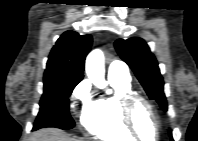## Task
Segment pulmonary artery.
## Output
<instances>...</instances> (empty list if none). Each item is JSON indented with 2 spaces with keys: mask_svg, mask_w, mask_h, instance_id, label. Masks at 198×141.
Instances as JSON below:
<instances>
[{
  "mask_svg": "<svg viewBox=\"0 0 198 141\" xmlns=\"http://www.w3.org/2000/svg\"><path fill=\"white\" fill-rule=\"evenodd\" d=\"M108 79L130 82V75L123 63L113 62L108 68Z\"/></svg>",
  "mask_w": 198,
  "mask_h": 141,
  "instance_id": "1",
  "label": "pulmonary artery"
}]
</instances>
